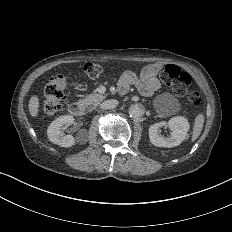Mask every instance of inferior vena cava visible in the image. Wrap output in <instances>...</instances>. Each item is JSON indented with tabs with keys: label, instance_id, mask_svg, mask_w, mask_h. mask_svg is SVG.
I'll use <instances>...</instances> for the list:
<instances>
[{
	"label": "inferior vena cava",
	"instance_id": "602c4592",
	"mask_svg": "<svg viewBox=\"0 0 232 232\" xmlns=\"http://www.w3.org/2000/svg\"><path fill=\"white\" fill-rule=\"evenodd\" d=\"M118 101L116 99H108L101 104L102 109H112L117 107Z\"/></svg>",
	"mask_w": 232,
	"mask_h": 232
}]
</instances>
